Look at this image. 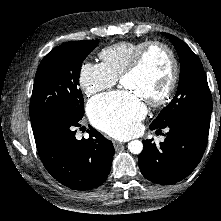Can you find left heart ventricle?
Returning a JSON list of instances; mask_svg holds the SVG:
<instances>
[{"instance_id":"b2bd125f","label":"left heart ventricle","mask_w":221,"mask_h":221,"mask_svg":"<svg viewBox=\"0 0 221 221\" xmlns=\"http://www.w3.org/2000/svg\"><path fill=\"white\" fill-rule=\"evenodd\" d=\"M170 72L167 54L161 48L151 49L138 72L125 77V88L137 92L143 99L159 96L165 89Z\"/></svg>"}]
</instances>
